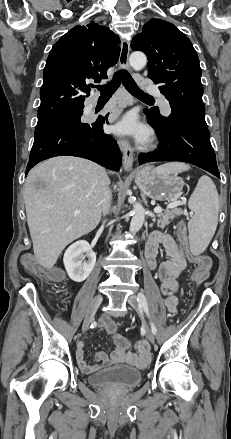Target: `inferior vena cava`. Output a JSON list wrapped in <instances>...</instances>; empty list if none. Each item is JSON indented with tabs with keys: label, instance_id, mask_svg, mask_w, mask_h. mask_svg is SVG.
I'll list each match as a JSON object with an SVG mask.
<instances>
[{
	"label": "inferior vena cava",
	"instance_id": "602c4592",
	"mask_svg": "<svg viewBox=\"0 0 231 439\" xmlns=\"http://www.w3.org/2000/svg\"><path fill=\"white\" fill-rule=\"evenodd\" d=\"M109 183V178H105L103 181V194L101 200V210L105 216L109 214L111 208L112 194L108 188Z\"/></svg>",
	"mask_w": 231,
	"mask_h": 439
}]
</instances>
